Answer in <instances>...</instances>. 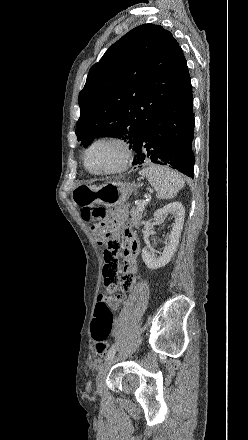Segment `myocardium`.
Segmentation results:
<instances>
[{"label": "myocardium", "mask_w": 248, "mask_h": 440, "mask_svg": "<svg viewBox=\"0 0 248 440\" xmlns=\"http://www.w3.org/2000/svg\"><path fill=\"white\" fill-rule=\"evenodd\" d=\"M101 143H113L117 145L121 150V159L112 168L103 171H94L88 167L87 157L89 152L92 150V148H94L96 145ZM131 159H132V150L130 145L125 139L114 135H106L97 138L92 143H90V145L86 148L83 154V165L90 174L97 176H107V175H114L124 172L129 167Z\"/></svg>", "instance_id": "f54148a6"}]
</instances>
